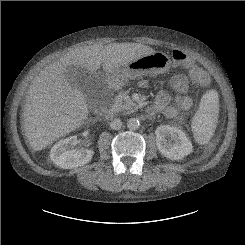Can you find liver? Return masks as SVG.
<instances>
[{"instance_id": "obj_1", "label": "liver", "mask_w": 245, "mask_h": 245, "mask_svg": "<svg viewBox=\"0 0 245 245\" xmlns=\"http://www.w3.org/2000/svg\"><path fill=\"white\" fill-rule=\"evenodd\" d=\"M139 43L93 44L76 48L46 66L33 80L24 106V129L30 146L40 151L60 137L81 127L89 113L83 93L67 79V68L84 67L111 72L142 56L154 53Z\"/></svg>"}]
</instances>
